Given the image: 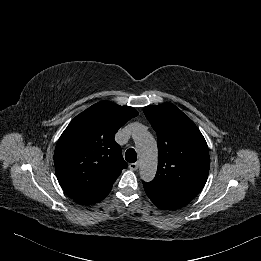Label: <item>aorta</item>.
<instances>
[{"mask_svg":"<svg viewBox=\"0 0 261 261\" xmlns=\"http://www.w3.org/2000/svg\"><path fill=\"white\" fill-rule=\"evenodd\" d=\"M135 146L140 160V177L145 182L154 179L157 171V144L153 135L144 129L133 134Z\"/></svg>","mask_w":261,"mask_h":261,"instance_id":"762f6f07","label":"aorta"}]
</instances>
